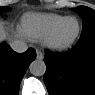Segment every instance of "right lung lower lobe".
Returning a JSON list of instances; mask_svg holds the SVG:
<instances>
[{"label":"right lung lower lobe","instance_id":"98d812e1","mask_svg":"<svg viewBox=\"0 0 95 95\" xmlns=\"http://www.w3.org/2000/svg\"><path fill=\"white\" fill-rule=\"evenodd\" d=\"M35 57L34 49L19 54L7 44L0 46V95L18 94L20 82Z\"/></svg>","mask_w":95,"mask_h":95}]
</instances>
